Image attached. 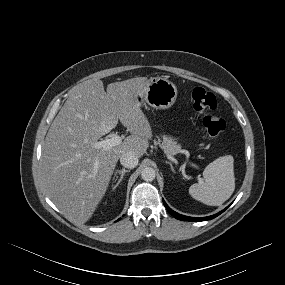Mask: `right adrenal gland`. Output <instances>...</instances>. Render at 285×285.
I'll return each mask as SVG.
<instances>
[{
  "mask_svg": "<svg viewBox=\"0 0 285 285\" xmlns=\"http://www.w3.org/2000/svg\"><path fill=\"white\" fill-rule=\"evenodd\" d=\"M127 172H130V170L122 169V170H117V171L115 172V177H118L117 174H119V175H120V178H119V180L117 181V183H116L115 185H113V187H112L113 189H116V188L119 186V184H120L121 181L123 180V177H124L125 173H127Z\"/></svg>",
  "mask_w": 285,
  "mask_h": 285,
  "instance_id": "obj_1",
  "label": "right adrenal gland"
}]
</instances>
